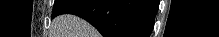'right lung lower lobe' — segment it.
<instances>
[{
  "label": "right lung lower lobe",
  "instance_id": "obj_1",
  "mask_svg": "<svg viewBox=\"0 0 219 37\" xmlns=\"http://www.w3.org/2000/svg\"><path fill=\"white\" fill-rule=\"evenodd\" d=\"M158 5L157 0H72L57 15H77L103 37H149Z\"/></svg>",
  "mask_w": 219,
  "mask_h": 37
}]
</instances>
